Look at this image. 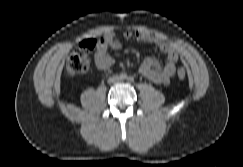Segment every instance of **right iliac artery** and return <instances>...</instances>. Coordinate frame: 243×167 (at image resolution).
<instances>
[{
	"label": "right iliac artery",
	"instance_id": "obj_1",
	"mask_svg": "<svg viewBox=\"0 0 243 167\" xmlns=\"http://www.w3.org/2000/svg\"><path fill=\"white\" fill-rule=\"evenodd\" d=\"M120 78H121V79H126V78H127V75H126L125 73H121V74H120Z\"/></svg>",
	"mask_w": 243,
	"mask_h": 167
}]
</instances>
